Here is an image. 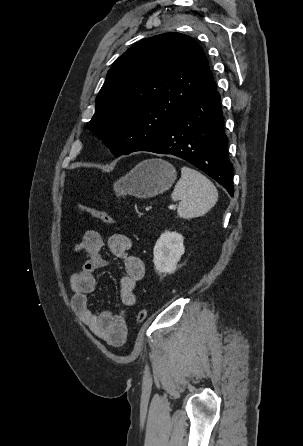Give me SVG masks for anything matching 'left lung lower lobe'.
Returning a JSON list of instances; mask_svg holds the SVG:
<instances>
[{
  "label": "left lung lower lobe",
  "instance_id": "0a47b994",
  "mask_svg": "<svg viewBox=\"0 0 303 446\" xmlns=\"http://www.w3.org/2000/svg\"><path fill=\"white\" fill-rule=\"evenodd\" d=\"M220 95L213 80L182 109L176 121L155 140L135 151L180 157L234 194L233 165L227 152Z\"/></svg>",
  "mask_w": 303,
  "mask_h": 446
}]
</instances>
